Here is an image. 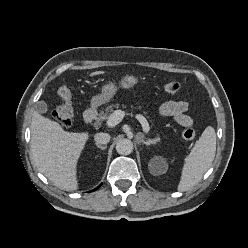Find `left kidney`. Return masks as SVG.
<instances>
[{
  "instance_id": "left-kidney-1",
  "label": "left kidney",
  "mask_w": 248,
  "mask_h": 248,
  "mask_svg": "<svg viewBox=\"0 0 248 248\" xmlns=\"http://www.w3.org/2000/svg\"><path fill=\"white\" fill-rule=\"evenodd\" d=\"M149 169L153 174H163L167 171L168 165L165 158L155 156L149 161Z\"/></svg>"
}]
</instances>
